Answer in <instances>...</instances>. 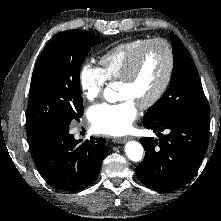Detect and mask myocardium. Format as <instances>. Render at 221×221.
<instances>
[{
    "label": "myocardium",
    "instance_id": "1",
    "mask_svg": "<svg viewBox=\"0 0 221 221\" xmlns=\"http://www.w3.org/2000/svg\"><path fill=\"white\" fill-rule=\"evenodd\" d=\"M154 44H160L164 47L167 53V58H168V64H167V71L164 77V80L158 90L154 93V95L148 99L146 102L143 104L139 105V107L143 110L149 109L153 106H155L165 95L167 92L172 78H173V73H174V68H175V54L173 47L171 43L161 37H155L148 39L145 41L141 47L136 51V53L133 55V57L129 60L127 67L125 69V72L119 79L121 82H130L136 75L139 65L141 63L142 57L146 51V49Z\"/></svg>",
    "mask_w": 221,
    "mask_h": 221
}]
</instances>
